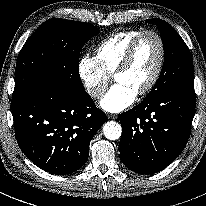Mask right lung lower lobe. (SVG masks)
I'll return each mask as SVG.
<instances>
[{
	"instance_id": "1",
	"label": "right lung lower lobe",
	"mask_w": 206,
	"mask_h": 206,
	"mask_svg": "<svg viewBox=\"0 0 206 206\" xmlns=\"http://www.w3.org/2000/svg\"><path fill=\"white\" fill-rule=\"evenodd\" d=\"M14 129L21 151L39 168L70 174L89 155V143L107 121L92 98L47 80L12 100Z\"/></svg>"
}]
</instances>
